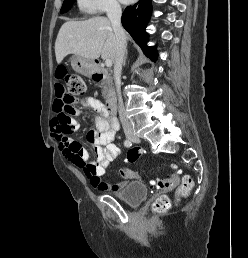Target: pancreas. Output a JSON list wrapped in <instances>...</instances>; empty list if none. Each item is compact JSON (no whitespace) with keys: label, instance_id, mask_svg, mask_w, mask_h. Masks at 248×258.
I'll use <instances>...</instances> for the list:
<instances>
[{"label":"pancreas","instance_id":"1","mask_svg":"<svg viewBox=\"0 0 248 258\" xmlns=\"http://www.w3.org/2000/svg\"><path fill=\"white\" fill-rule=\"evenodd\" d=\"M102 88H103L102 95H103L104 98H107L108 93L112 90V83H111V80L109 78L104 79L102 81Z\"/></svg>","mask_w":248,"mask_h":258}]
</instances>
